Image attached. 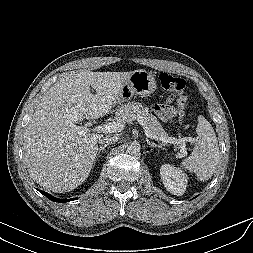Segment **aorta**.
Listing matches in <instances>:
<instances>
[{"instance_id": "762f6f07", "label": "aorta", "mask_w": 253, "mask_h": 253, "mask_svg": "<svg viewBox=\"0 0 253 253\" xmlns=\"http://www.w3.org/2000/svg\"><path fill=\"white\" fill-rule=\"evenodd\" d=\"M140 150H141V145L136 141H132L127 145V152L129 154H134V155L139 154Z\"/></svg>"}]
</instances>
